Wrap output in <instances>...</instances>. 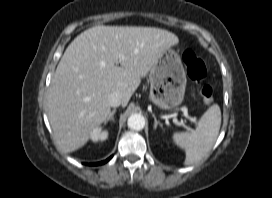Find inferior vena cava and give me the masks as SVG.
<instances>
[{
    "label": "inferior vena cava",
    "mask_w": 272,
    "mask_h": 198,
    "mask_svg": "<svg viewBox=\"0 0 272 198\" xmlns=\"http://www.w3.org/2000/svg\"><path fill=\"white\" fill-rule=\"evenodd\" d=\"M108 100L111 107H118L122 104V97L117 92L111 93Z\"/></svg>",
    "instance_id": "obj_1"
}]
</instances>
